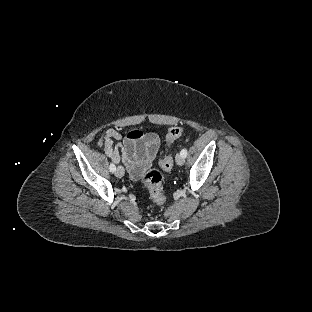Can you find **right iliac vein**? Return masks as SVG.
Listing matches in <instances>:
<instances>
[{
  "label": "right iliac vein",
  "mask_w": 312,
  "mask_h": 312,
  "mask_svg": "<svg viewBox=\"0 0 312 312\" xmlns=\"http://www.w3.org/2000/svg\"><path fill=\"white\" fill-rule=\"evenodd\" d=\"M124 169H123V167L122 166H118L117 167V170H116V176L117 177H119V178H121V177H123L124 176Z\"/></svg>",
  "instance_id": "63e3f726"
}]
</instances>
